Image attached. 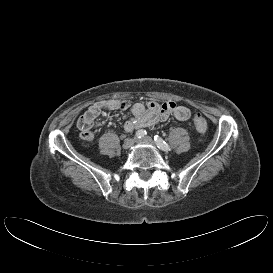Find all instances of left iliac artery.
Returning <instances> with one entry per match:
<instances>
[{
	"mask_svg": "<svg viewBox=\"0 0 273 273\" xmlns=\"http://www.w3.org/2000/svg\"><path fill=\"white\" fill-rule=\"evenodd\" d=\"M154 141L156 142V145L158 146L159 149L163 151H170V146L158 135L154 136Z\"/></svg>",
	"mask_w": 273,
	"mask_h": 273,
	"instance_id": "left-iliac-artery-1",
	"label": "left iliac artery"
}]
</instances>
